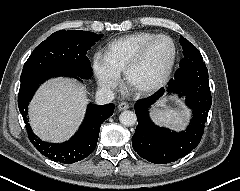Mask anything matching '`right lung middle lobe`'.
Wrapping results in <instances>:
<instances>
[{
  "mask_svg": "<svg viewBox=\"0 0 240 191\" xmlns=\"http://www.w3.org/2000/svg\"><path fill=\"white\" fill-rule=\"evenodd\" d=\"M103 35L88 31L54 32L32 52L23 67V72L59 69L83 79L92 76L87 51Z\"/></svg>",
  "mask_w": 240,
  "mask_h": 191,
  "instance_id": "right-lung-middle-lobe-1",
  "label": "right lung middle lobe"
}]
</instances>
